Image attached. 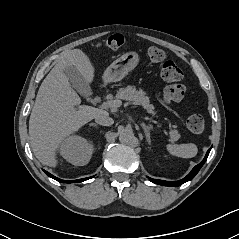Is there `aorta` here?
Masks as SVG:
<instances>
[{"instance_id": "762f6f07", "label": "aorta", "mask_w": 239, "mask_h": 239, "mask_svg": "<svg viewBox=\"0 0 239 239\" xmlns=\"http://www.w3.org/2000/svg\"><path fill=\"white\" fill-rule=\"evenodd\" d=\"M134 140V134L133 131L130 129H124L119 134V141L122 144H130Z\"/></svg>"}]
</instances>
